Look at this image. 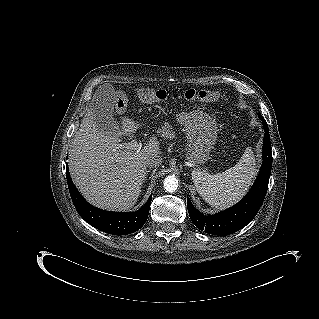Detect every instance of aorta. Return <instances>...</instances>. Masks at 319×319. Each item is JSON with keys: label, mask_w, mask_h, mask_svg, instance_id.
<instances>
[{"label": "aorta", "mask_w": 319, "mask_h": 319, "mask_svg": "<svg viewBox=\"0 0 319 319\" xmlns=\"http://www.w3.org/2000/svg\"><path fill=\"white\" fill-rule=\"evenodd\" d=\"M164 189L167 192L173 193L178 189L179 182L175 176L169 175L164 179Z\"/></svg>", "instance_id": "1"}]
</instances>
